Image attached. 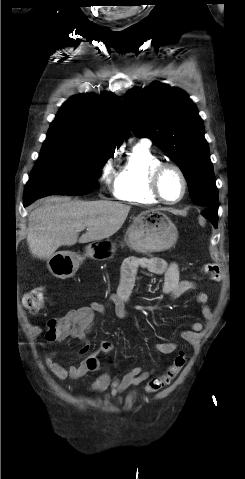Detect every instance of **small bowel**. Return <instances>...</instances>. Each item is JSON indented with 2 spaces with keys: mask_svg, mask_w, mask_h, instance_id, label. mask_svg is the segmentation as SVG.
<instances>
[{
  "mask_svg": "<svg viewBox=\"0 0 245 479\" xmlns=\"http://www.w3.org/2000/svg\"><path fill=\"white\" fill-rule=\"evenodd\" d=\"M140 268L147 269L150 272L162 274L164 281L162 284V293L172 299L181 295L194 291L196 284L190 280H181L179 276V268L175 263H167L160 258H140L128 257L121 267V275L119 284L115 292L111 293L107 303H91L88 306L73 309L67 312L61 320L68 326L66 337L78 340L82 346L79 349L80 355H85V359L77 366H63L56 360V352L54 350L45 354V363L52 373L59 379L77 380L89 373H97L100 371L99 352L110 353L113 350L111 342H102L98 352L89 353V342L87 332L93 324L96 314L106 315L108 308L114 309L118 318H126L129 316L128 304L134 287L136 274ZM208 295L199 292L196 295V301L202 306V314L206 321L212 318L211 308L208 306ZM48 321L47 324H51ZM203 323L194 322L190 330L181 333L183 340L193 342L197 333L202 331ZM65 337V338H66ZM53 341V340H50ZM154 349L161 354H171L178 349L177 342H160L154 345ZM150 377L149 371H143L140 367L130 368L121 378L112 377L108 373H100L90 385L93 392H104L110 389V396L114 397L126 391L127 389L137 386L145 382Z\"/></svg>",
  "mask_w": 245,
  "mask_h": 479,
  "instance_id": "1",
  "label": "small bowel"
}]
</instances>
